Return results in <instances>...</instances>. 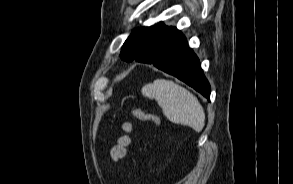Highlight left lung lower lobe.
Listing matches in <instances>:
<instances>
[{
    "label": "left lung lower lobe",
    "instance_id": "obj_1",
    "mask_svg": "<svg viewBox=\"0 0 293 184\" xmlns=\"http://www.w3.org/2000/svg\"><path fill=\"white\" fill-rule=\"evenodd\" d=\"M150 58L143 63L182 80L210 100V85L205 78L198 57L188 47L185 36L176 28L165 26L147 43Z\"/></svg>",
    "mask_w": 293,
    "mask_h": 184
}]
</instances>
